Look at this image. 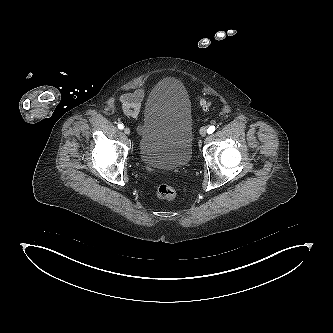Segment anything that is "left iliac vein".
<instances>
[{"label":"left iliac vein","instance_id":"4c4485c4","mask_svg":"<svg viewBox=\"0 0 333 333\" xmlns=\"http://www.w3.org/2000/svg\"><path fill=\"white\" fill-rule=\"evenodd\" d=\"M199 132H200V135H201V136H203V137L206 136V134H207V129H206V127H202V128L200 129Z\"/></svg>","mask_w":333,"mask_h":333}]
</instances>
